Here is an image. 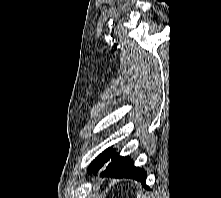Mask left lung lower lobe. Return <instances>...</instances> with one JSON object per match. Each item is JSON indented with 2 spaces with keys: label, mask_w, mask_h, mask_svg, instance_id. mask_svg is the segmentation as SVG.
Returning a JSON list of instances; mask_svg holds the SVG:
<instances>
[{
  "label": "left lung lower lobe",
  "mask_w": 221,
  "mask_h": 198,
  "mask_svg": "<svg viewBox=\"0 0 221 198\" xmlns=\"http://www.w3.org/2000/svg\"><path fill=\"white\" fill-rule=\"evenodd\" d=\"M111 159L112 162L107 166L106 170L101 173V176L114 178H132L141 181L143 185L146 186V173L143 169L135 167L131 158L121 157L119 154L114 153Z\"/></svg>",
  "instance_id": "0a47b994"
}]
</instances>
